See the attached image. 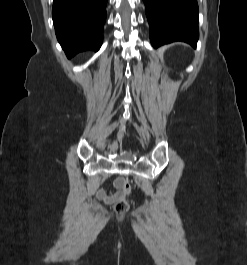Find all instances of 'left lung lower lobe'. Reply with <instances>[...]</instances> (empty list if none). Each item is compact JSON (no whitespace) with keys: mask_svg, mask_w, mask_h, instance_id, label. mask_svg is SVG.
Instances as JSON below:
<instances>
[{"mask_svg":"<svg viewBox=\"0 0 247 265\" xmlns=\"http://www.w3.org/2000/svg\"><path fill=\"white\" fill-rule=\"evenodd\" d=\"M153 47L183 41L196 47L199 37L196 0H143Z\"/></svg>","mask_w":247,"mask_h":265,"instance_id":"left-lung-lower-lobe-1","label":"left lung lower lobe"}]
</instances>
